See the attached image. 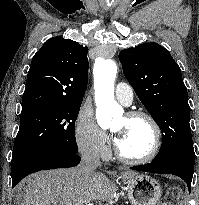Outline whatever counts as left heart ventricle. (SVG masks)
Wrapping results in <instances>:
<instances>
[{"label":"left heart ventricle","mask_w":199,"mask_h":205,"mask_svg":"<svg viewBox=\"0 0 199 205\" xmlns=\"http://www.w3.org/2000/svg\"><path fill=\"white\" fill-rule=\"evenodd\" d=\"M111 127L122 152L130 157H140L148 153L153 141L150 125L142 118H116Z\"/></svg>","instance_id":"b2bd125f"}]
</instances>
